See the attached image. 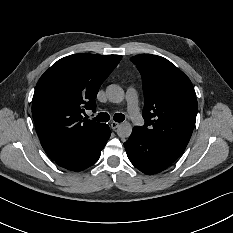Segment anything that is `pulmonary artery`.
<instances>
[{
	"mask_svg": "<svg viewBox=\"0 0 233 233\" xmlns=\"http://www.w3.org/2000/svg\"><path fill=\"white\" fill-rule=\"evenodd\" d=\"M126 101L128 106V115L134 126L140 127L144 124L145 119L138 107V92L134 87H128L126 91Z\"/></svg>",
	"mask_w": 233,
	"mask_h": 233,
	"instance_id": "pulmonary-artery-1",
	"label": "pulmonary artery"
}]
</instances>
